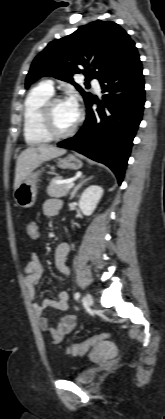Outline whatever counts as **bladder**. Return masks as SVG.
Wrapping results in <instances>:
<instances>
[{
    "label": "bladder",
    "instance_id": "obj_1",
    "mask_svg": "<svg viewBox=\"0 0 165 419\" xmlns=\"http://www.w3.org/2000/svg\"><path fill=\"white\" fill-rule=\"evenodd\" d=\"M97 371L91 368H87L79 372L74 376V381L79 384H89L95 380Z\"/></svg>",
    "mask_w": 165,
    "mask_h": 419
}]
</instances>
